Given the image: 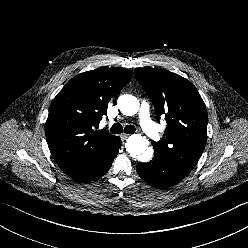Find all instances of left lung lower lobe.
Segmentation results:
<instances>
[{"instance_id": "obj_1", "label": "left lung lower lobe", "mask_w": 248, "mask_h": 248, "mask_svg": "<svg viewBox=\"0 0 248 248\" xmlns=\"http://www.w3.org/2000/svg\"><path fill=\"white\" fill-rule=\"evenodd\" d=\"M136 170L142 179L157 188H168L188 175L167 158L156 153L152 161L139 163Z\"/></svg>"}]
</instances>
